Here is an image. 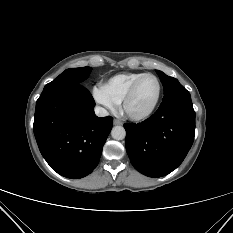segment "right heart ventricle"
I'll use <instances>...</instances> for the list:
<instances>
[{"mask_svg":"<svg viewBox=\"0 0 233 233\" xmlns=\"http://www.w3.org/2000/svg\"><path fill=\"white\" fill-rule=\"evenodd\" d=\"M143 72L121 73L111 77L105 84L111 95L119 102L123 100L127 91Z\"/></svg>","mask_w":233,"mask_h":233,"instance_id":"right-heart-ventricle-1","label":"right heart ventricle"}]
</instances>
